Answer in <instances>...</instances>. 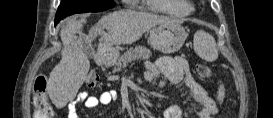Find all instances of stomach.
I'll return each instance as SVG.
<instances>
[{"mask_svg": "<svg viewBox=\"0 0 273 118\" xmlns=\"http://www.w3.org/2000/svg\"><path fill=\"white\" fill-rule=\"evenodd\" d=\"M187 36L180 24H160L150 30L149 41L152 48L170 54L183 46Z\"/></svg>", "mask_w": 273, "mask_h": 118, "instance_id": "0dacf381", "label": "stomach"}]
</instances>
